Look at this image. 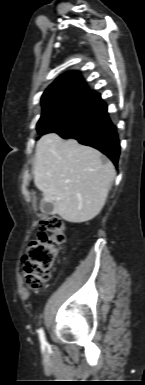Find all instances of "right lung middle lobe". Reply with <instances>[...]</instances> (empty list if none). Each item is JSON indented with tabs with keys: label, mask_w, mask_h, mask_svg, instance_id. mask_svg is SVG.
I'll use <instances>...</instances> for the list:
<instances>
[{
	"label": "right lung middle lobe",
	"mask_w": 145,
	"mask_h": 385,
	"mask_svg": "<svg viewBox=\"0 0 145 385\" xmlns=\"http://www.w3.org/2000/svg\"><path fill=\"white\" fill-rule=\"evenodd\" d=\"M99 98L100 94L95 92L74 91L45 102L37 124L38 133L43 135L60 131L92 107Z\"/></svg>",
	"instance_id": "right-lung-middle-lobe-1"
}]
</instances>
